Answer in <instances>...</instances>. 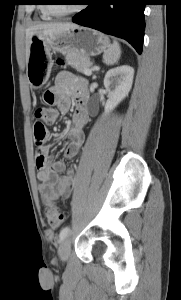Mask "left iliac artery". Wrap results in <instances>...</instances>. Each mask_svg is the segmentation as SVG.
I'll use <instances>...</instances> for the list:
<instances>
[{
  "instance_id": "left-iliac-artery-1",
  "label": "left iliac artery",
  "mask_w": 181,
  "mask_h": 300,
  "mask_svg": "<svg viewBox=\"0 0 181 300\" xmlns=\"http://www.w3.org/2000/svg\"><path fill=\"white\" fill-rule=\"evenodd\" d=\"M69 231H70V228L68 226L63 228L60 231L59 237H60L61 241L64 240L67 237V235L69 234Z\"/></svg>"
}]
</instances>
